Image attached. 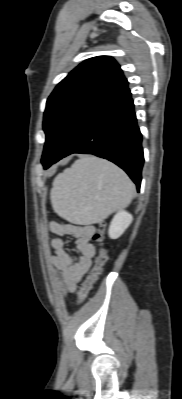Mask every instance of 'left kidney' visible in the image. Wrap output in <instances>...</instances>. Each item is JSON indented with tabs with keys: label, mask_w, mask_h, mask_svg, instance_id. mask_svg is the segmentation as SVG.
<instances>
[{
	"label": "left kidney",
	"mask_w": 182,
	"mask_h": 399,
	"mask_svg": "<svg viewBox=\"0 0 182 399\" xmlns=\"http://www.w3.org/2000/svg\"><path fill=\"white\" fill-rule=\"evenodd\" d=\"M133 220V216L125 210H120L112 219L108 235L111 239L119 238L129 227Z\"/></svg>",
	"instance_id": "5707ae66"
}]
</instances>
